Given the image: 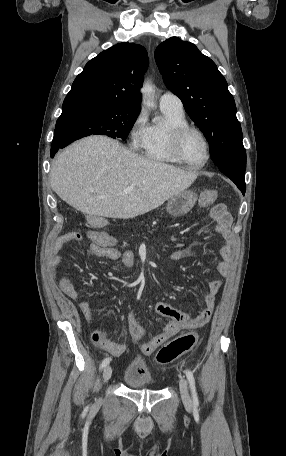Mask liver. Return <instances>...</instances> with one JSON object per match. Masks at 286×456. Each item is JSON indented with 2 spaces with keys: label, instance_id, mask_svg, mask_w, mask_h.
I'll use <instances>...</instances> for the list:
<instances>
[{
  "label": "liver",
  "instance_id": "1",
  "mask_svg": "<svg viewBox=\"0 0 286 456\" xmlns=\"http://www.w3.org/2000/svg\"><path fill=\"white\" fill-rule=\"evenodd\" d=\"M194 170L142 157L105 136L76 141L61 152L50 172L53 191L90 216L133 218L185 191Z\"/></svg>",
  "mask_w": 286,
  "mask_h": 456
}]
</instances>
